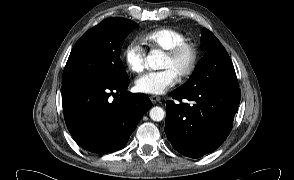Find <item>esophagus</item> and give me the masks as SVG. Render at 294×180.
<instances>
[{
  "instance_id": "1",
  "label": "esophagus",
  "mask_w": 294,
  "mask_h": 180,
  "mask_svg": "<svg viewBox=\"0 0 294 180\" xmlns=\"http://www.w3.org/2000/svg\"><path fill=\"white\" fill-rule=\"evenodd\" d=\"M150 99L153 104L159 103L161 100L160 97H158V96H151Z\"/></svg>"
}]
</instances>
